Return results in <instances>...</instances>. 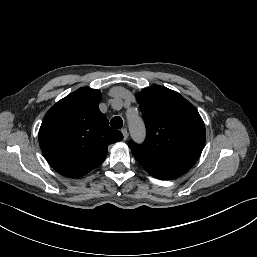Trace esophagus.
Wrapping results in <instances>:
<instances>
[{
  "mask_svg": "<svg viewBox=\"0 0 257 257\" xmlns=\"http://www.w3.org/2000/svg\"><path fill=\"white\" fill-rule=\"evenodd\" d=\"M121 132H122V134H123V139H124V140H127V138H128V131H127V129H126V128H123V129L121 130Z\"/></svg>",
  "mask_w": 257,
  "mask_h": 257,
  "instance_id": "obj_1",
  "label": "esophagus"
}]
</instances>
